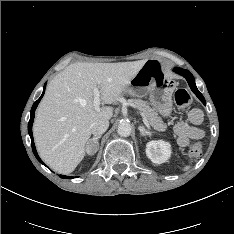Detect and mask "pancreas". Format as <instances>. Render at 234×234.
Segmentation results:
<instances>
[{
	"label": "pancreas",
	"mask_w": 234,
	"mask_h": 234,
	"mask_svg": "<svg viewBox=\"0 0 234 234\" xmlns=\"http://www.w3.org/2000/svg\"><path fill=\"white\" fill-rule=\"evenodd\" d=\"M130 103L140 111V113L148 120L149 124L155 130H166V124L162 121V118L158 116V113L151 108L146 101L141 99H132L130 100Z\"/></svg>",
	"instance_id": "pancreas-1"
}]
</instances>
